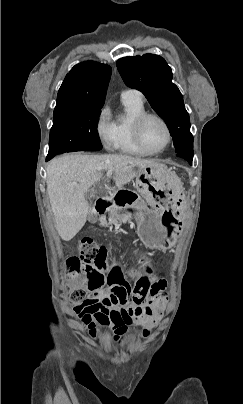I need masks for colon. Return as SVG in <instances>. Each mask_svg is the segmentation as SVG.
<instances>
[{
  "label": "colon",
  "mask_w": 243,
  "mask_h": 404,
  "mask_svg": "<svg viewBox=\"0 0 243 404\" xmlns=\"http://www.w3.org/2000/svg\"><path fill=\"white\" fill-rule=\"evenodd\" d=\"M107 250L96 245L92 240H83L79 244V255L71 257L68 261V275L70 278L69 293L75 302H82L86 292L78 286L81 282H92L99 286L100 282L95 281V276L103 275L106 271ZM132 301L140 304L144 301L143 292H134Z\"/></svg>",
  "instance_id": "colon-1"
}]
</instances>
